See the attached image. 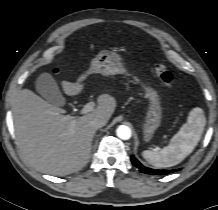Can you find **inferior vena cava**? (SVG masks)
<instances>
[{
    "mask_svg": "<svg viewBox=\"0 0 218 210\" xmlns=\"http://www.w3.org/2000/svg\"><path fill=\"white\" fill-rule=\"evenodd\" d=\"M106 123H107V120L101 119V118H93L89 121V125L94 129H99L105 126Z\"/></svg>",
    "mask_w": 218,
    "mask_h": 210,
    "instance_id": "1",
    "label": "inferior vena cava"
}]
</instances>
